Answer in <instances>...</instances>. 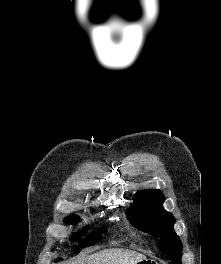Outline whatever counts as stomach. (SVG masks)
<instances>
[{
  "label": "stomach",
  "mask_w": 221,
  "mask_h": 264,
  "mask_svg": "<svg viewBox=\"0 0 221 264\" xmlns=\"http://www.w3.org/2000/svg\"><path fill=\"white\" fill-rule=\"evenodd\" d=\"M136 264H159V263L153 259H147L146 258V259L140 260Z\"/></svg>",
  "instance_id": "stomach-1"
}]
</instances>
